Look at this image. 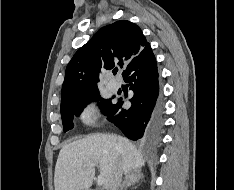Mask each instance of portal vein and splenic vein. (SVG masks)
Segmentation results:
<instances>
[{
	"instance_id": "obj_1",
	"label": "portal vein and splenic vein",
	"mask_w": 234,
	"mask_h": 190,
	"mask_svg": "<svg viewBox=\"0 0 234 190\" xmlns=\"http://www.w3.org/2000/svg\"><path fill=\"white\" fill-rule=\"evenodd\" d=\"M95 166H97L96 163H91V164L87 165V167H95ZM103 184H104V178L102 175H99L97 178V185L102 186Z\"/></svg>"
}]
</instances>
